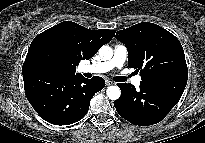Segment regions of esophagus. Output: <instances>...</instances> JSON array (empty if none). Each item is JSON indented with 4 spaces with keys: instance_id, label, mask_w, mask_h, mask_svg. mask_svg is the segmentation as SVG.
<instances>
[{
    "instance_id": "obj_1",
    "label": "esophagus",
    "mask_w": 205,
    "mask_h": 143,
    "mask_svg": "<svg viewBox=\"0 0 205 143\" xmlns=\"http://www.w3.org/2000/svg\"><path fill=\"white\" fill-rule=\"evenodd\" d=\"M106 86H110V85H112L113 84V82L112 81H110V80H106Z\"/></svg>"
}]
</instances>
